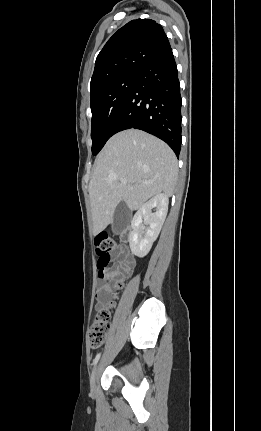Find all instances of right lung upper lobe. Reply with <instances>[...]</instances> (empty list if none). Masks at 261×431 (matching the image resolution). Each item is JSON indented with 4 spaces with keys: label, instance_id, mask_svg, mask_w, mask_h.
Wrapping results in <instances>:
<instances>
[{
    "label": "right lung upper lobe",
    "instance_id": "1",
    "mask_svg": "<svg viewBox=\"0 0 261 431\" xmlns=\"http://www.w3.org/2000/svg\"><path fill=\"white\" fill-rule=\"evenodd\" d=\"M168 48L169 40L156 21H130L108 40L98 54L90 83L91 92L120 76L138 74Z\"/></svg>",
    "mask_w": 261,
    "mask_h": 431
}]
</instances>
